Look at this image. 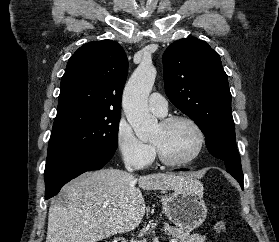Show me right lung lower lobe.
<instances>
[{"mask_svg": "<svg viewBox=\"0 0 279 242\" xmlns=\"http://www.w3.org/2000/svg\"><path fill=\"white\" fill-rule=\"evenodd\" d=\"M114 153L87 152L67 158L45 169V199L55 196L61 187L80 174L101 169L110 161Z\"/></svg>", "mask_w": 279, "mask_h": 242, "instance_id": "right-lung-lower-lobe-1", "label": "right lung lower lobe"}]
</instances>
